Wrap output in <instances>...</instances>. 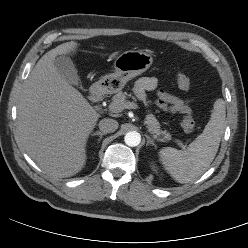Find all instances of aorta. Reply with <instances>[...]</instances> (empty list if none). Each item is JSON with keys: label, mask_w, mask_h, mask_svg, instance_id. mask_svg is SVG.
Segmentation results:
<instances>
[{"label": "aorta", "mask_w": 248, "mask_h": 248, "mask_svg": "<svg viewBox=\"0 0 248 248\" xmlns=\"http://www.w3.org/2000/svg\"><path fill=\"white\" fill-rule=\"evenodd\" d=\"M124 141H125L126 145H128L130 147H136L141 142V135L136 131H130V132L126 133V135L124 137Z\"/></svg>", "instance_id": "1"}]
</instances>
